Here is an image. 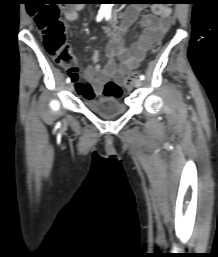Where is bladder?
Returning a JSON list of instances; mask_svg holds the SVG:
<instances>
[{
	"label": "bladder",
	"instance_id": "31cf9c89",
	"mask_svg": "<svg viewBox=\"0 0 218 257\" xmlns=\"http://www.w3.org/2000/svg\"><path fill=\"white\" fill-rule=\"evenodd\" d=\"M84 104L102 117H113L125 112L126 106L117 97L102 96L96 99H85Z\"/></svg>",
	"mask_w": 218,
	"mask_h": 257
}]
</instances>
